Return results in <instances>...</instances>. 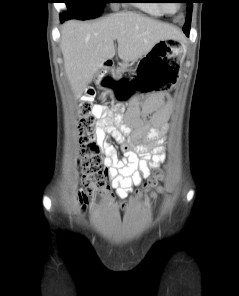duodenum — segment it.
Returning a JSON list of instances; mask_svg holds the SVG:
<instances>
[{
  "mask_svg": "<svg viewBox=\"0 0 239 296\" xmlns=\"http://www.w3.org/2000/svg\"><path fill=\"white\" fill-rule=\"evenodd\" d=\"M104 65L106 67V72L107 74L101 78V81L104 82V83H108L110 81V73L111 71L114 69V65H113V62L112 60L108 59L104 62Z\"/></svg>",
  "mask_w": 239,
  "mask_h": 296,
  "instance_id": "obj_1",
  "label": "duodenum"
}]
</instances>
